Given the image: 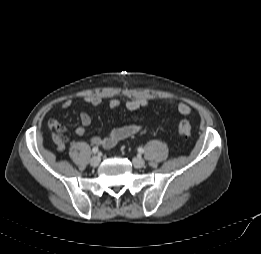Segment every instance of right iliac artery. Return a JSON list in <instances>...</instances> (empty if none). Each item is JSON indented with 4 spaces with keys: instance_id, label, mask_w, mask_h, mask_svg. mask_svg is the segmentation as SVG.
Wrapping results in <instances>:
<instances>
[{
    "instance_id": "82829eb1",
    "label": "right iliac artery",
    "mask_w": 261,
    "mask_h": 254,
    "mask_svg": "<svg viewBox=\"0 0 261 254\" xmlns=\"http://www.w3.org/2000/svg\"><path fill=\"white\" fill-rule=\"evenodd\" d=\"M92 151L94 154H96V153H98L99 149H98V147H93Z\"/></svg>"
}]
</instances>
